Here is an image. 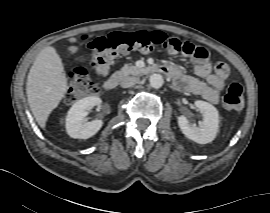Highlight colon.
Listing matches in <instances>:
<instances>
[{
    "mask_svg": "<svg viewBox=\"0 0 270 213\" xmlns=\"http://www.w3.org/2000/svg\"><path fill=\"white\" fill-rule=\"evenodd\" d=\"M80 42L92 52L91 61L94 64H111L120 53H147L157 50L166 43L171 45V51H181L186 55H193L197 59H205L208 56L207 50L202 46L182 42L157 30L138 31L132 34L115 32L100 37L83 35L80 37ZM215 68L220 76L227 77L228 68L224 64L217 63ZM96 92L97 87L90 79L85 67H77L70 73L65 95L66 102L72 104ZM243 101L242 86L232 82L223 96L222 107L226 110L240 109L243 106Z\"/></svg>",
    "mask_w": 270,
    "mask_h": 213,
    "instance_id": "5ec220e1",
    "label": "colon"
}]
</instances>
